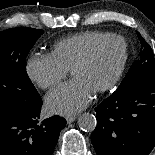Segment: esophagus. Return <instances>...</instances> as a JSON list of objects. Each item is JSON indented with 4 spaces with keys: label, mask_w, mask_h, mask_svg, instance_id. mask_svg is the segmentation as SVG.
<instances>
[{
    "label": "esophagus",
    "mask_w": 155,
    "mask_h": 155,
    "mask_svg": "<svg viewBox=\"0 0 155 155\" xmlns=\"http://www.w3.org/2000/svg\"><path fill=\"white\" fill-rule=\"evenodd\" d=\"M75 120H76L75 116H68V117H66V121H67L68 124H71Z\"/></svg>",
    "instance_id": "1"
}]
</instances>
